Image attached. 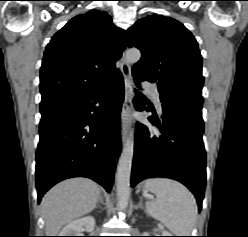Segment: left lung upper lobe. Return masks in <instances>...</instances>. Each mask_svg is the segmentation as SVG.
Instances as JSON below:
<instances>
[{
  "mask_svg": "<svg viewBox=\"0 0 248 237\" xmlns=\"http://www.w3.org/2000/svg\"><path fill=\"white\" fill-rule=\"evenodd\" d=\"M127 40L129 48L142 52L132 68L135 81L157 83L162 103L203 102L202 56L194 36L182 23L154 14L129 28Z\"/></svg>",
  "mask_w": 248,
  "mask_h": 237,
  "instance_id": "5c2ea615",
  "label": "left lung upper lobe"
}]
</instances>
